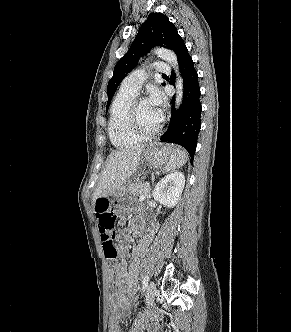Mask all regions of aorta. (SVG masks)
Here are the masks:
<instances>
[{
	"label": "aorta",
	"mask_w": 291,
	"mask_h": 332,
	"mask_svg": "<svg viewBox=\"0 0 291 332\" xmlns=\"http://www.w3.org/2000/svg\"><path fill=\"white\" fill-rule=\"evenodd\" d=\"M153 53L157 55L159 58L165 60L170 64L171 67L175 70L176 73V109L180 107L183 99V80L180 76L179 67H178V59L176 54L168 49L165 48H155Z\"/></svg>",
	"instance_id": "762f6f07"
}]
</instances>
